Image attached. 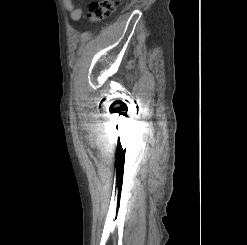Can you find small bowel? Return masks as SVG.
Here are the masks:
<instances>
[{
  "label": "small bowel",
  "mask_w": 247,
  "mask_h": 245,
  "mask_svg": "<svg viewBox=\"0 0 247 245\" xmlns=\"http://www.w3.org/2000/svg\"><path fill=\"white\" fill-rule=\"evenodd\" d=\"M65 8L70 12L71 18L75 21L80 20L83 17V9L77 7L73 0H63Z\"/></svg>",
  "instance_id": "1"
}]
</instances>
